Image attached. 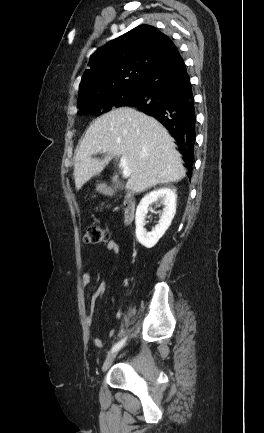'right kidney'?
I'll list each match as a JSON object with an SVG mask.
<instances>
[{"instance_id":"right-kidney-1","label":"right kidney","mask_w":264,"mask_h":433,"mask_svg":"<svg viewBox=\"0 0 264 433\" xmlns=\"http://www.w3.org/2000/svg\"><path fill=\"white\" fill-rule=\"evenodd\" d=\"M158 199H162L164 204L163 213L160 217L158 224L155 228L148 232L144 226L146 224V214L148 207ZM176 199L177 195L172 188H160L154 190L144 196L136 210L135 224H136V238L146 248L154 247L159 239L164 235L166 230L171 225V222L176 213Z\"/></svg>"}]
</instances>
